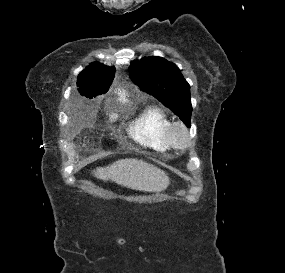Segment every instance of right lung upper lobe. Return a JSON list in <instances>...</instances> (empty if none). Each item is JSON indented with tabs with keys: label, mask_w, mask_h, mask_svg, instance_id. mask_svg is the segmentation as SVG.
Here are the masks:
<instances>
[{
	"label": "right lung upper lobe",
	"mask_w": 285,
	"mask_h": 273,
	"mask_svg": "<svg viewBox=\"0 0 285 273\" xmlns=\"http://www.w3.org/2000/svg\"><path fill=\"white\" fill-rule=\"evenodd\" d=\"M114 75V67L107 68L99 63H92L78 76L77 86L80 94L91 99L106 93Z\"/></svg>",
	"instance_id": "cb5924a9"
}]
</instances>
